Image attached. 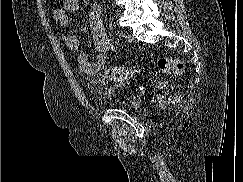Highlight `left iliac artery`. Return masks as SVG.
I'll use <instances>...</instances> for the list:
<instances>
[{"label":"left iliac artery","instance_id":"left-iliac-artery-1","mask_svg":"<svg viewBox=\"0 0 243 182\" xmlns=\"http://www.w3.org/2000/svg\"><path fill=\"white\" fill-rule=\"evenodd\" d=\"M117 35H118L120 38L125 37V35H124L122 32H120V31H118Z\"/></svg>","mask_w":243,"mask_h":182}]
</instances>
